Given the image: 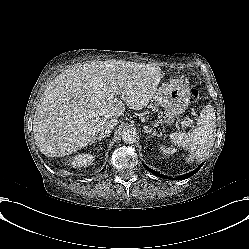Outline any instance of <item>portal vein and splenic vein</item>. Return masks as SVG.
I'll return each instance as SVG.
<instances>
[{"label":"portal vein and splenic vein","mask_w":249,"mask_h":249,"mask_svg":"<svg viewBox=\"0 0 249 249\" xmlns=\"http://www.w3.org/2000/svg\"><path fill=\"white\" fill-rule=\"evenodd\" d=\"M187 123H188V121L182 122L183 126H184V125H187Z\"/></svg>","instance_id":"portal-vein-and-splenic-vein-1"}]
</instances>
